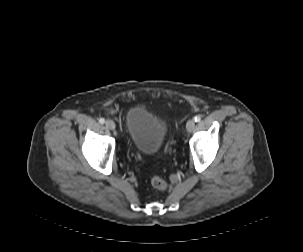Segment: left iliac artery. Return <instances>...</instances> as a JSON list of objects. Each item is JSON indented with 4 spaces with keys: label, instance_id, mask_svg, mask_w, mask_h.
I'll use <instances>...</instances> for the list:
<instances>
[{
    "label": "left iliac artery",
    "instance_id": "left-iliac-artery-1",
    "mask_svg": "<svg viewBox=\"0 0 303 252\" xmlns=\"http://www.w3.org/2000/svg\"><path fill=\"white\" fill-rule=\"evenodd\" d=\"M194 120H195V122H200L201 117H200V116H195V117H194Z\"/></svg>",
    "mask_w": 303,
    "mask_h": 252
}]
</instances>
